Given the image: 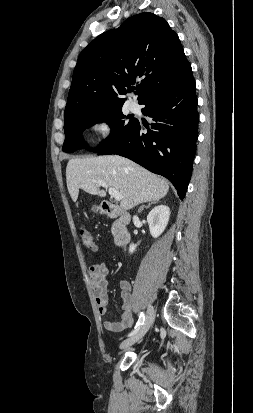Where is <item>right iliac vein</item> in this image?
Returning <instances> with one entry per match:
<instances>
[{"instance_id":"right-iliac-vein-1","label":"right iliac vein","mask_w":253,"mask_h":413,"mask_svg":"<svg viewBox=\"0 0 253 413\" xmlns=\"http://www.w3.org/2000/svg\"><path fill=\"white\" fill-rule=\"evenodd\" d=\"M154 317H155L154 308H153L152 305H149L145 321H144L143 325L141 326V328L134 335H132L129 338H127L126 340H124L121 343L120 348L121 349L128 348V347L134 345L140 339H142L144 337V335L147 333V331L149 330V328L151 327V325L154 321Z\"/></svg>"}]
</instances>
